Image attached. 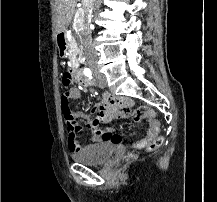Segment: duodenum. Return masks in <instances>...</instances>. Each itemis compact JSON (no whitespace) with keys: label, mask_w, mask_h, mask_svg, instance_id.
<instances>
[{"label":"duodenum","mask_w":217,"mask_h":202,"mask_svg":"<svg viewBox=\"0 0 217 202\" xmlns=\"http://www.w3.org/2000/svg\"><path fill=\"white\" fill-rule=\"evenodd\" d=\"M57 46L59 55L61 57H66L67 55V39H66V33L60 32L57 35ZM85 72L81 69H77L73 71V75L75 79L80 82L82 85L86 87H90L93 85V83L85 76Z\"/></svg>","instance_id":"1"}]
</instances>
